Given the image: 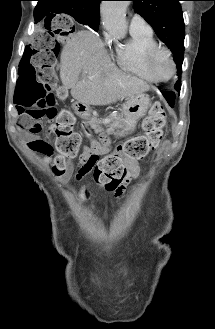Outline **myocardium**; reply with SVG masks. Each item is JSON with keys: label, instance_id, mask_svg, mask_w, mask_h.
Returning a JSON list of instances; mask_svg holds the SVG:
<instances>
[{"label": "myocardium", "instance_id": "f54148a6", "mask_svg": "<svg viewBox=\"0 0 215 329\" xmlns=\"http://www.w3.org/2000/svg\"><path fill=\"white\" fill-rule=\"evenodd\" d=\"M160 54H166V56L168 57V60L171 64V67H172L171 74L166 78L160 77L156 70L155 63ZM146 66H147V69L150 72V74L153 76V78L157 82H166V81L171 80L175 76L176 71H177L176 62L173 57L172 51L168 47L160 46V45H158V46L154 47L152 50H150V52L148 53V55L146 57Z\"/></svg>", "mask_w": 215, "mask_h": 329}]
</instances>
